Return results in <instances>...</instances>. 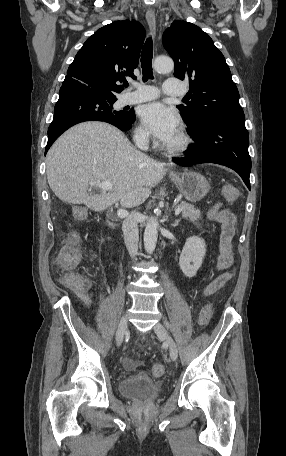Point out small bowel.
<instances>
[{
  "instance_id": "obj_1",
  "label": "small bowel",
  "mask_w": 286,
  "mask_h": 456,
  "mask_svg": "<svg viewBox=\"0 0 286 456\" xmlns=\"http://www.w3.org/2000/svg\"><path fill=\"white\" fill-rule=\"evenodd\" d=\"M207 218L209 221L219 225L221 236L219 241V254L215 260L216 269L223 271L217 276L204 290L206 295H210L223 287L231 278L232 274L226 271L234 261L232 250V239L234 236L235 217L227 209L220 204H216L208 211ZM76 298L87 308L91 306L94 292L90 291H75Z\"/></svg>"
}]
</instances>
